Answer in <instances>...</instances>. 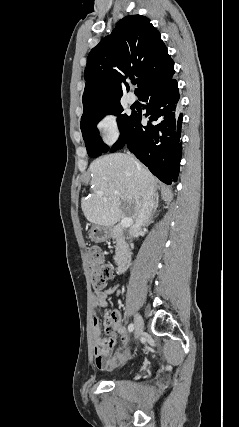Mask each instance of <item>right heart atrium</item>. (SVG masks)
I'll list each match as a JSON object with an SVG mask.
<instances>
[{
	"mask_svg": "<svg viewBox=\"0 0 239 427\" xmlns=\"http://www.w3.org/2000/svg\"><path fill=\"white\" fill-rule=\"evenodd\" d=\"M97 128L102 140L108 145L114 144L120 138V125L117 116L114 114H106L101 117L97 123Z\"/></svg>",
	"mask_w": 239,
	"mask_h": 427,
	"instance_id": "d8ad5b80",
	"label": "right heart atrium"
}]
</instances>
